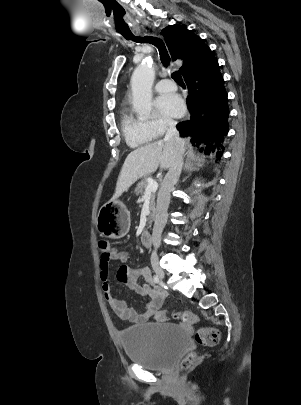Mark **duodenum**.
Masks as SVG:
<instances>
[{"instance_id":"obj_1","label":"duodenum","mask_w":301,"mask_h":405,"mask_svg":"<svg viewBox=\"0 0 301 405\" xmlns=\"http://www.w3.org/2000/svg\"><path fill=\"white\" fill-rule=\"evenodd\" d=\"M141 242L144 246L146 247H151L153 244V239H152V235L150 232L148 231H144L141 234Z\"/></svg>"}]
</instances>
